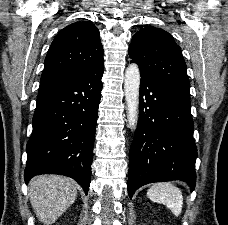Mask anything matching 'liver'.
Here are the masks:
<instances>
[{"mask_svg":"<svg viewBox=\"0 0 228 225\" xmlns=\"http://www.w3.org/2000/svg\"><path fill=\"white\" fill-rule=\"evenodd\" d=\"M30 203L43 225H53L77 199L78 185L69 177L40 175L29 183Z\"/></svg>","mask_w":228,"mask_h":225,"instance_id":"1","label":"liver"}]
</instances>
